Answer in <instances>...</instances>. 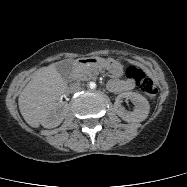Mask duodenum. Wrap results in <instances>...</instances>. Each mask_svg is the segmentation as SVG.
Returning <instances> with one entry per match:
<instances>
[{
  "label": "duodenum",
  "instance_id": "obj_1",
  "mask_svg": "<svg viewBox=\"0 0 187 187\" xmlns=\"http://www.w3.org/2000/svg\"><path fill=\"white\" fill-rule=\"evenodd\" d=\"M94 61H95L94 59L88 58V57L79 58V59L75 60V62L73 63V69H74V71H76L80 67L87 65L89 63H92Z\"/></svg>",
  "mask_w": 187,
  "mask_h": 187
}]
</instances>
